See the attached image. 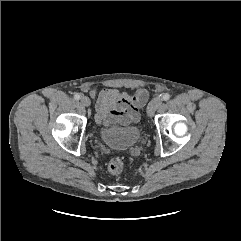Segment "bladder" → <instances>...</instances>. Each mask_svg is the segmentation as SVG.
<instances>
[{"label":"bladder","mask_w":241,"mask_h":241,"mask_svg":"<svg viewBox=\"0 0 241 241\" xmlns=\"http://www.w3.org/2000/svg\"><path fill=\"white\" fill-rule=\"evenodd\" d=\"M103 142L115 150H128L135 146L140 139L139 127H129L121 130L103 128L100 130Z\"/></svg>","instance_id":"1"}]
</instances>
